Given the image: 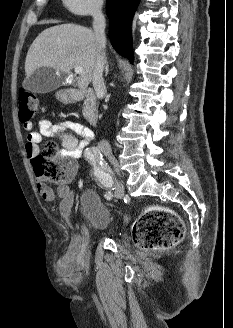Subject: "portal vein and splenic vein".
<instances>
[{
    "label": "portal vein and splenic vein",
    "instance_id": "1",
    "mask_svg": "<svg viewBox=\"0 0 233 328\" xmlns=\"http://www.w3.org/2000/svg\"><path fill=\"white\" fill-rule=\"evenodd\" d=\"M74 70H75V73H76V74H81L82 71H83V69H82L81 66H75Z\"/></svg>",
    "mask_w": 233,
    "mask_h": 328
}]
</instances>
